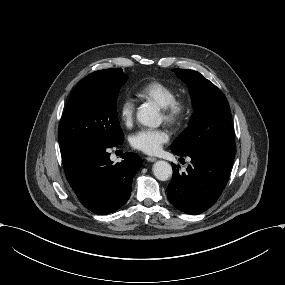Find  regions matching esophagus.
<instances>
[{
	"label": "esophagus",
	"instance_id": "obj_1",
	"mask_svg": "<svg viewBox=\"0 0 285 285\" xmlns=\"http://www.w3.org/2000/svg\"><path fill=\"white\" fill-rule=\"evenodd\" d=\"M146 160L148 162H154V161H156V158L155 157H146Z\"/></svg>",
	"mask_w": 285,
	"mask_h": 285
}]
</instances>
